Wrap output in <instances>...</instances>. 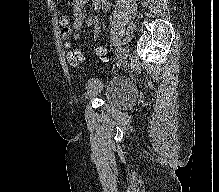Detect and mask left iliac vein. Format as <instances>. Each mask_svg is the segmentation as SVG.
<instances>
[{
    "instance_id": "1",
    "label": "left iliac vein",
    "mask_w": 219,
    "mask_h": 192,
    "mask_svg": "<svg viewBox=\"0 0 219 192\" xmlns=\"http://www.w3.org/2000/svg\"><path fill=\"white\" fill-rule=\"evenodd\" d=\"M128 56H129V48L124 47L119 53L118 57L116 58V63L113 66V68L115 69V67H118L122 63H124ZM101 90H102V84L99 81L90 80L88 82V85H87V96L88 97H93L97 95L98 93L101 92Z\"/></svg>"
}]
</instances>
